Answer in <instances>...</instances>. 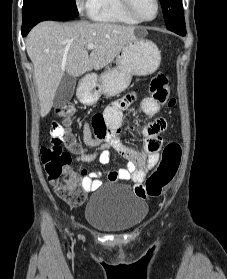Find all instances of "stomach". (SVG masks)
I'll use <instances>...</instances> for the list:
<instances>
[{
	"mask_svg": "<svg viewBox=\"0 0 227 279\" xmlns=\"http://www.w3.org/2000/svg\"><path fill=\"white\" fill-rule=\"evenodd\" d=\"M136 38L127 43L116 56V66L107 69L98 80H83L77 97L86 105L95 104L102 94L113 97L124 91L134 75L145 76L155 72L161 62L157 45L145 39V30H135Z\"/></svg>",
	"mask_w": 227,
	"mask_h": 279,
	"instance_id": "stomach-1",
	"label": "stomach"
}]
</instances>
